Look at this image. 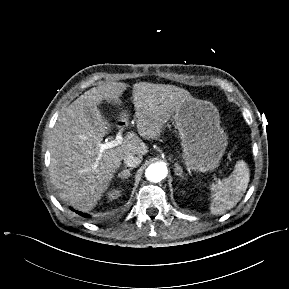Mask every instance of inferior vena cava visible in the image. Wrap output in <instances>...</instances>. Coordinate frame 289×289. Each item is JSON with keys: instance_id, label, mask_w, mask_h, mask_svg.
Instances as JSON below:
<instances>
[{"instance_id": "602c4592", "label": "inferior vena cava", "mask_w": 289, "mask_h": 289, "mask_svg": "<svg viewBox=\"0 0 289 289\" xmlns=\"http://www.w3.org/2000/svg\"><path fill=\"white\" fill-rule=\"evenodd\" d=\"M143 156L141 154H135L132 152H128L123 160H124V164L128 167H136L138 166L141 161H142Z\"/></svg>"}]
</instances>
